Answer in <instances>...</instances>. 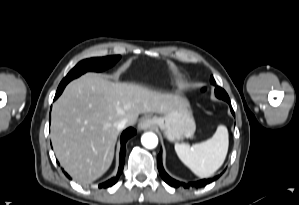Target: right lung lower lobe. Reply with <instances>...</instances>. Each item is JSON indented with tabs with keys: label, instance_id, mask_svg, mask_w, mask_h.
I'll list each match as a JSON object with an SVG mask.
<instances>
[{
	"label": "right lung lower lobe",
	"instance_id": "obj_1",
	"mask_svg": "<svg viewBox=\"0 0 299 205\" xmlns=\"http://www.w3.org/2000/svg\"><path fill=\"white\" fill-rule=\"evenodd\" d=\"M64 89V88H63ZM63 90H60V91H57L56 92V95H55V99L58 98V96L62 93ZM134 134H136V130L133 129V128H128L126 129L122 135H121V150H120V166H119V169H118V173L115 177L111 178L110 180H107L106 182L102 183L99 185V188H108L112 185H114L122 171H123V167H124V157H125V153H126V148H125V145H126V141L131 137L133 136Z\"/></svg>",
	"mask_w": 299,
	"mask_h": 205
}]
</instances>
